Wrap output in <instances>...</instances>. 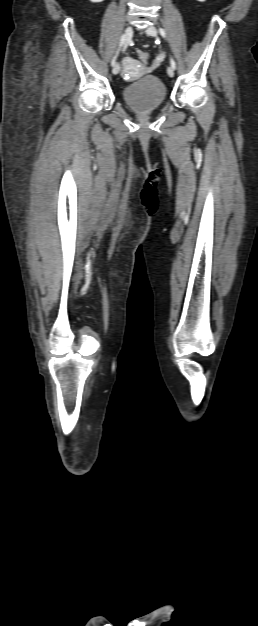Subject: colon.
<instances>
[{
	"mask_svg": "<svg viewBox=\"0 0 258 626\" xmlns=\"http://www.w3.org/2000/svg\"><path fill=\"white\" fill-rule=\"evenodd\" d=\"M137 56L142 62H146L148 60V54L143 50H137Z\"/></svg>",
	"mask_w": 258,
	"mask_h": 626,
	"instance_id": "colon-1",
	"label": "colon"
}]
</instances>
